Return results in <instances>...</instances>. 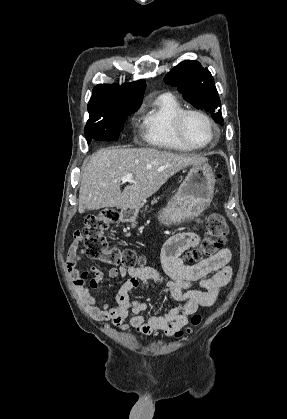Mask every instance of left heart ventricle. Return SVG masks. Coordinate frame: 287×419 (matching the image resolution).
<instances>
[{
    "label": "left heart ventricle",
    "mask_w": 287,
    "mask_h": 419,
    "mask_svg": "<svg viewBox=\"0 0 287 419\" xmlns=\"http://www.w3.org/2000/svg\"><path fill=\"white\" fill-rule=\"evenodd\" d=\"M183 129L185 136L192 143L204 144L211 139V131L208 125L198 116H188Z\"/></svg>",
    "instance_id": "b2bd125f"
}]
</instances>
